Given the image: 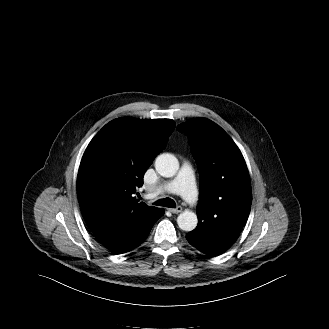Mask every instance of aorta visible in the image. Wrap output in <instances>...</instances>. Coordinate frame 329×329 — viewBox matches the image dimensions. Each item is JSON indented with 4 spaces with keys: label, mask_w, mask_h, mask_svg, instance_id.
Segmentation results:
<instances>
[{
    "label": "aorta",
    "mask_w": 329,
    "mask_h": 329,
    "mask_svg": "<svg viewBox=\"0 0 329 329\" xmlns=\"http://www.w3.org/2000/svg\"><path fill=\"white\" fill-rule=\"evenodd\" d=\"M155 169L163 177H173L179 169L178 159L170 153L160 154L155 160ZM177 224L183 231H192L198 224L197 215L186 210L177 217Z\"/></svg>",
    "instance_id": "762f6f07"
}]
</instances>
